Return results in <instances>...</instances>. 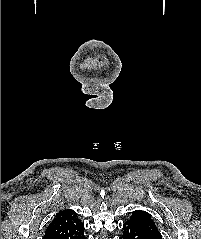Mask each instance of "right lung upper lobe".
Wrapping results in <instances>:
<instances>
[{"mask_svg": "<svg viewBox=\"0 0 201 239\" xmlns=\"http://www.w3.org/2000/svg\"><path fill=\"white\" fill-rule=\"evenodd\" d=\"M84 229L75 211L63 210L55 215L43 239H82Z\"/></svg>", "mask_w": 201, "mask_h": 239, "instance_id": "1", "label": "right lung upper lobe"}]
</instances>
